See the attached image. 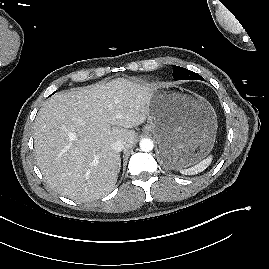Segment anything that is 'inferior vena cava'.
Masks as SVG:
<instances>
[{
    "instance_id": "inferior-vena-cava-1",
    "label": "inferior vena cava",
    "mask_w": 269,
    "mask_h": 269,
    "mask_svg": "<svg viewBox=\"0 0 269 269\" xmlns=\"http://www.w3.org/2000/svg\"><path fill=\"white\" fill-rule=\"evenodd\" d=\"M113 150L120 152L125 148V144L122 140H117L111 144Z\"/></svg>"
}]
</instances>
